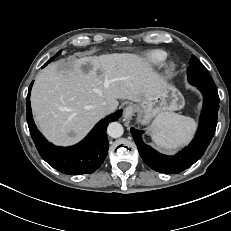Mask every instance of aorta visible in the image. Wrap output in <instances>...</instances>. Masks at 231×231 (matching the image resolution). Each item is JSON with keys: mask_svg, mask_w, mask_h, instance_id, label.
I'll list each match as a JSON object with an SVG mask.
<instances>
[{"mask_svg": "<svg viewBox=\"0 0 231 231\" xmlns=\"http://www.w3.org/2000/svg\"><path fill=\"white\" fill-rule=\"evenodd\" d=\"M123 126L118 122H111L107 127V133L112 138H119L123 135Z\"/></svg>", "mask_w": 231, "mask_h": 231, "instance_id": "1", "label": "aorta"}]
</instances>
